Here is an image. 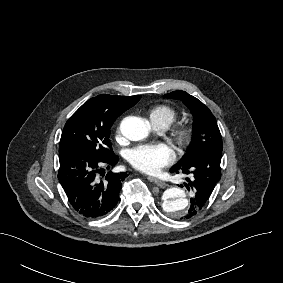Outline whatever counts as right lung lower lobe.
<instances>
[{
  "mask_svg": "<svg viewBox=\"0 0 283 283\" xmlns=\"http://www.w3.org/2000/svg\"><path fill=\"white\" fill-rule=\"evenodd\" d=\"M58 179L74 210L85 218H101L110 213L118 202L122 181L126 173L109 171L99 182L98 174L104 176L107 169L118 162L113 152L97 158L82 150L59 155Z\"/></svg>",
  "mask_w": 283,
  "mask_h": 283,
  "instance_id": "98d812e1",
  "label": "right lung lower lobe"
}]
</instances>
